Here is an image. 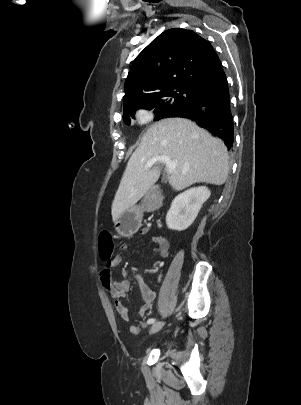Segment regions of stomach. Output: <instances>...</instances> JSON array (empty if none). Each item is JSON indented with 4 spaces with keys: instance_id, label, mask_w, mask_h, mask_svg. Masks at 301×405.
<instances>
[{
    "instance_id": "stomach-1",
    "label": "stomach",
    "mask_w": 301,
    "mask_h": 405,
    "mask_svg": "<svg viewBox=\"0 0 301 405\" xmlns=\"http://www.w3.org/2000/svg\"><path fill=\"white\" fill-rule=\"evenodd\" d=\"M142 212L139 208L128 209L115 222L117 232L122 236L135 233L141 226Z\"/></svg>"
}]
</instances>
